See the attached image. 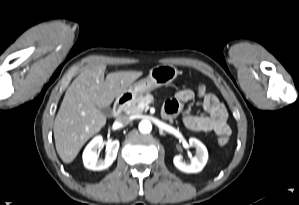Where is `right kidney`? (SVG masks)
Here are the masks:
<instances>
[{
  "instance_id": "right-kidney-1",
  "label": "right kidney",
  "mask_w": 299,
  "mask_h": 205,
  "mask_svg": "<svg viewBox=\"0 0 299 205\" xmlns=\"http://www.w3.org/2000/svg\"><path fill=\"white\" fill-rule=\"evenodd\" d=\"M103 144V137L96 136L94 137L83 151V164L87 169L100 171L107 169L112 165L114 160L117 157V152L119 149V141L114 140L107 144L106 146V155L104 160L98 159L97 150Z\"/></svg>"
}]
</instances>
